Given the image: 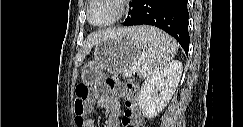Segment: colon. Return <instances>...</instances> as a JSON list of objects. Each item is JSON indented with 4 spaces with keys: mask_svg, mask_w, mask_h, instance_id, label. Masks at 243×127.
I'll use <instances>...</instances> for the list:
<instances>
[{
    "mask_svg": "<svg viewBox=\"0 0 243 127\" xmlns=\"http://www.w3.org/2000/svg\"><path fill=\"white\" fill-rule=\"evenodd\" d=\"M111 96L117 100H123L125 112L122 116V126L141 127L142 115L137 107V92L132 83H125L117 78L109 77L104 85H96L91 89L85 84L76 87V98L74 100V116L77 126L85 124V117L90 110V102L96 98Z\"/></svg>",
    "mask_w": 243,
    "mask_h": 127,
    "instance_id": "obj_1",
    "label": "colon"
}]
</instances>
